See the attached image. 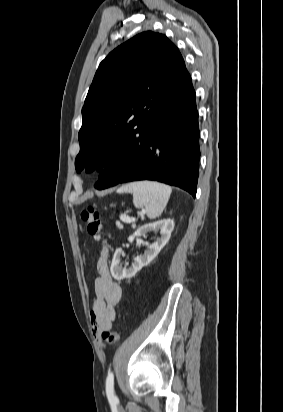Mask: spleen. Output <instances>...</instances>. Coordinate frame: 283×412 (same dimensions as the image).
<instances>
[{
	"instance_id": "obj_1",
	"label": "spleen",
	"mask_w": 283,
	"mask_h": 412,
	"mask_svg": "<svg viewBox=\"0 0 283 412\" xmlns=\"http://www.w3.org/2000/svg\"><path fill=\"white\" fill-rule=\"evenodd\" d=\"M172 189L168 185L152 182L137 181L121 186L117 193H131L136 208H145L149 219L159 217L164 211Z\"/></svg>"
}]
</instances>
